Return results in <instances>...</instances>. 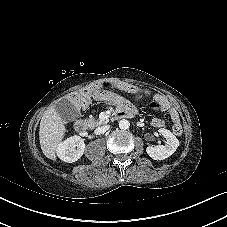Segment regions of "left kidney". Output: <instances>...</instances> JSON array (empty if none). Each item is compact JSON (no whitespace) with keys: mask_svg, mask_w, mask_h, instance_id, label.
I'll list each match as a JSON object with an SVG mask.
<instances>
[{"mask_svg":"<svg viewBox=\"0 0 227 227\" xmlns=\"http://www.w3.org/2000/svg\"><path fill=\"white\" fill-rule=\"evenodd\" d=\"M160 135L165 138L164 145H157V146H148L146 148L147 154L154 160H164L171 156L179 146V141L174 136V134L164 128H160L159 130Z\"/></svg>","mask_w":227,"mask_h":227,"instance_id":"obj_1","label":"left kidney"}]
</instances>
